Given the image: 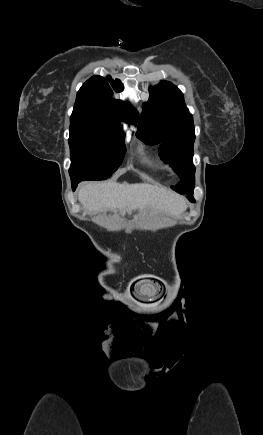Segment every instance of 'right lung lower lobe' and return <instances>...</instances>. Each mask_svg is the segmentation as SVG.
Listing matches in <instances>:
<instances>
[{"mask_svg": "<svg viewBox=\"0 0 263 435\" xmlns=\"http://www.w3.org/2000/svg\"><path fill=\"white\" fill-rule=\"evenodd\" d=\"M79 182H81V181L80 180H74V181H72V188H73V190L76 189V187H77Z\"/></svg>", "mask_w": 263, "mask_h": 435, "instance_id": "obj_1", "label": "right lung lower lobe"}]
</instances>
